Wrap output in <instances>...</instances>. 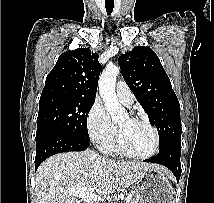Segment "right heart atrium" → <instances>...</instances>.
<instances>
[{
	"mask_svg": "<svg viewBox=\"0 0 214 203\" xmlns=\"http://www.w3.org/2000/svg\"><path fill=\"white\" fill-rule=\"evenodd\" d=\"M87 132L92 141L102 146L110 143L116 136V126L110 120L102 103L96 100L86 117Z\"/></svg>",
	"mask_w": 214,
	"mask_h": 203,
	"instance_id": "obj_1",
	"label": "right heart atrium"
}]
</instances>
